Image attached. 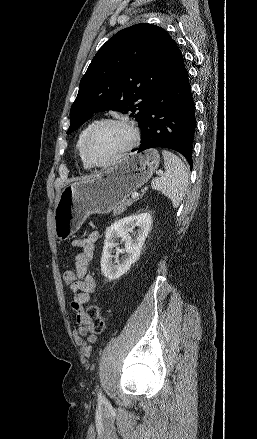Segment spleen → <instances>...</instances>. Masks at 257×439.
I'll use <instances>...</instances> for the list:
<instances>
[{
    "label": "spleen",
    "mask_w": 257,
    "mask_h": 439,
    "mask_svg": "<svg viewBox=\"0 0 257 439\" xmlns=\"http://www.w3.org/2000/svg\"><path fill=\"white\" fill-rule=\"evenodd\" d=\"M165 173L151 182V187L166 195L177 208L188 186V171L179 157L168 150H163Z\"/></svg>",
    "instance_id": "obj_1"
}]
</instances>
